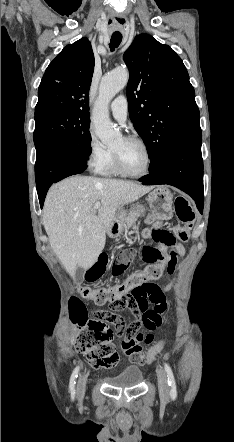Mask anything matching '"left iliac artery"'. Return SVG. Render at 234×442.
I'll return each instance as SVG.
<instances>
[{"label":"left iliac artery","mask_w":234,"mask_h":442,"mask_svg":"<svg viewBox=\"0 0 234 442\" xmlns=\"http://www.w3.org/2000/svg\"><path fill=\"white\" fill-rule=\"evenodd\" d=\"M164 367H165V371H166L167 378H168V384L170 387V397L172 400H175L177 397V389H176L174 375H173V372H172L170 366L167 363L164 364Z\"/></svg>","instance_id":"1"}]
</instances>
